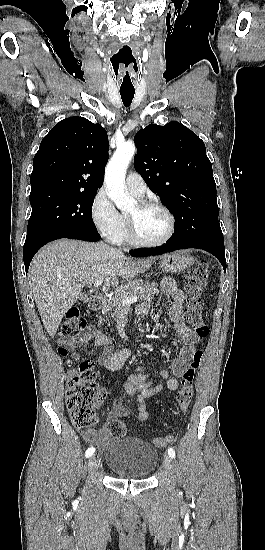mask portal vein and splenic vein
I'll return each mask as SVG.
<instances>
[{"mask_svg":"<svg viewBox=\"0 0 265 550\" xmlns=\"http://www.w3.org/2000/svg\"><path fill=\"white\" fill-rule=\"evenodd\" d=\"M103 283V280L99 279L97 281L94 282V287L98 288L99 286H101ZM138 301V298L137 297H128L126 298L125 300L122 301V305L123 306H129L130 304H133V303H136Z\"/></svg>","mask_w":265,"mask_h":550,"instance_id":"obj_1","label":"portal vein and splenic vein"}]
</instances>
